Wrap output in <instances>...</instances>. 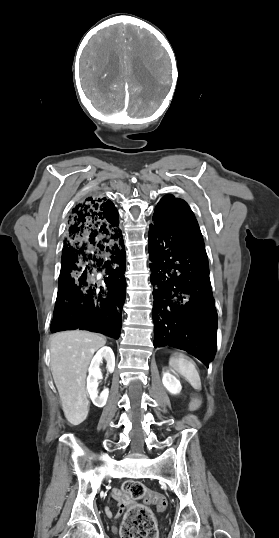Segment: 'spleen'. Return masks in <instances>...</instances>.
Masks as SVG:
<instances>
[{"label":"spleen","instance_id":"3e777b00","mask_svg":"<svg viewBox=\"0 0 279 538\" xmlns=\"http://www.w3.org/2000/svg\"><path fill=\"white\" fill-rule=\"evenodd\" d=\"M170 368H173L175 372L184 376L186 380H189L191 387H195L194 392L199 394L201 389L199 388L201 380L199 374L195 368L194 362L192 360H187L186 356L183 354H174L169 360Z\"/></svg>","mask_w":279,"mask_h":538}]
</instances>
